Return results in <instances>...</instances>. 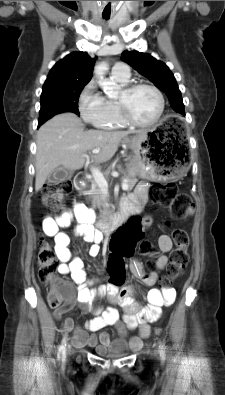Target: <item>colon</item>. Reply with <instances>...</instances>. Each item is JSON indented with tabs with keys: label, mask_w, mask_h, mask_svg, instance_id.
<instances>
[{
	"label": "colon",
	"mask_w": 225,
	"mask_h": 395,
	"mask_svg": "<svg viewBox=\"0 0 225 395\" xmlns=\"http://www.w3.org/2000/svg\"><path fill=\"white\" fill-rule=\"evenodd\" d=\"M71 192L72 184L69 180L49 183L44 187L43 202L50 208L60 210L64 206L65 198ZM150 195L156 204L169 209L176 220H185L193 212L190 197L179 192L174 183L154 184ZM143 221V215H130V222L122 223V228H116L115 234L111 235V244L107 246L109 254L107 271L112 278L111 283L114 288L123 287L122 279L125 277L124 272L127 271L124 257L134 256L135 251H138L139 256H150L153 253L152 244L143 240ZM172 238L175 246L170 255L165 282L179 277L189 260L190 238L187 231L176 228L172 231ZM58 268L59 263L51 242L41 238L38 250V278L41 283L50 286L48 293L50 306L64 308L74 293L69 283L56 277Z\"/></svg>",
	"instance_id": "colon-1"
}]
</instances>
